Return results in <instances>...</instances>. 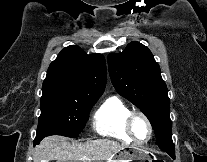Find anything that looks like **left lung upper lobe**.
<instances>
[{"mask_svg": "<svg viewBox=\"0 0 207 162\" xmlns=\"http://www.w3.org/2000/svg\"><path fill=\"white\" fill-rule=\"evenodd\" d=\"M108 66L118 93L137 106L150 120L159 148L164 150L174 147L168 91L150 50L133 41L123 52L109 54Z\"/></svg>", "mask_w": 207, "mask_h": 162, "instance_id": "left-lung-upper-lobe-1", "label": "left lung upper lobe"}]
</instances>
